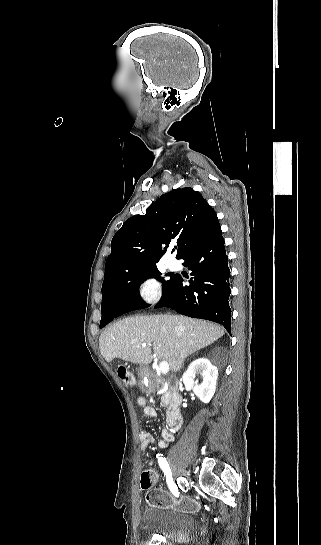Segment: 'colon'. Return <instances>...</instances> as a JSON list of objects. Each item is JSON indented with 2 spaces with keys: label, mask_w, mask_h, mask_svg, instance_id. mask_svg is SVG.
I'll return each mask as SVG.
<instances>
[{
  "label": "colon",
  "mask_w": 321,
  "mask_h": 545,
  "mask_svg": "<svg viewBox=\"0 0 321 545\" xmlns=\"http://www.w3.org/2000/svg\"><path fill=\"white\" fill-rule=\"evenodd\" d=\"M117 373L120 379L129 389L134 388V377L126 367H119ZM140 481L141 487L144 490H149L146 496V500L153 506L161 508L179 509L186 512L196 511L199 507L198 503L190 497L181 496L180 498H175L172 494L166 491L151 489L154 482L148 470L142 473Z\"/></svg>",
  "instance_id": "colon-1"
}]
</instances>
